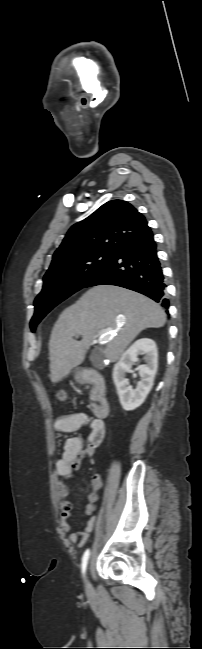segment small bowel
I'll return each mask as SVG.
<instances>
[{
  "label": "small bowel",
  "mask_w": 202,
  "mask_h": 649,
  "mask_svg": "<svg viewBox=\"0 0 202 649\" xmlns=\"http://www.w3.org/2000/svg\"><path fill=\"white\" fill-rule=\"evenodd\" d=\"M82 427L89 428V433L86 438L75 436L67 439L64 445V451L56 464L58 476L56 492L60 501L61 527L65 532H70L71 530L68 520L72 516V504L68 500L69 488L66 480L73 476L82 459L94 455L96 448L102 443L105 437L106 429L103 420L84 412L62 415L54 422V428L59 432H75ZM101 487V476L94 474L91 479L92 491L88 495V504L85 508V513L89 516L87 526L83 530L69 534V541L71 543L79 542V547L84 546L89 538V533L93 529L95 522L93 514L98 509V491Z\"/></svg>",
  "instance_id": "c3829d8e"
}]
</instances>
